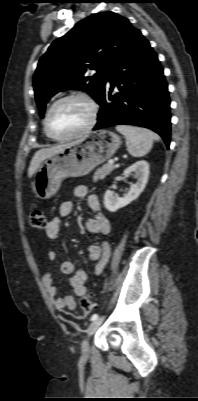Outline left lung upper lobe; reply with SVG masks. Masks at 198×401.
I'll use <instances>...</instances> for the list:
<instances>
[{"instance_id": "obj_1", "label": "left lung upper lobe", "mask_w": 198, "mask_h": 401, "mask_svg": "<svg viewBox=\"0 0 198 401\" xmlns=\"http://www.w3.org/2000/svg\"><path fill=\"white\" fill-rule=\"evenodd\" d=\"M136 31L128 19L103 12L81 20L55 40L40 58L33 76L40 116L49 99L63 90L86 91L98 102L112 67Z\"/></svg>"}]
</instances>
